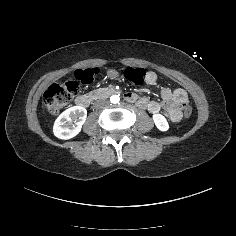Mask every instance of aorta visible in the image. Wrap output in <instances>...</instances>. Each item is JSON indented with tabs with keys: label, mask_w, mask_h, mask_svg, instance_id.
I'll return each instance as SVG.
<instances>
[{
	"label": "aorta",
	"mask_w": 236,
	"mask_h": 236,
	"mask_svg": "<svg viewBox=\"0 0 236 236\" xmlns=\"http://www.w3.org/2000/svg\"><path fill=\"white\" fill-rule=\"evenodd\" d=\"M119 102V97L117 95H113L110 97V103L117 104Z\"/></svg>",
	"instance_id": "obj_1"
}]
</instances>
